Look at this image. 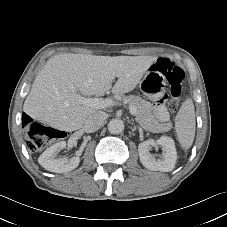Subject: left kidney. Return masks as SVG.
I'll return each instance as SVG.
<instances>
[{"label": "left kidney", "mask_w": 227, "mask_h": 227, "mask_svg": "<svg viewBox=\"0 0 227 227\" xmlns=\"http://www.w3.org/2000/svg\"><path fill=\"white\" fill-rule=\"evenodd\" d=\"M156 146H161L164 150L162 159H157L150 153L152 147ZM138 152L143 166L153 171H172L177 160L174 140L167 136H162L157 141L149 139L140 143L138 146Z\"/></svg>", "instance_id": "left-kidney-1"}]
</instances>
